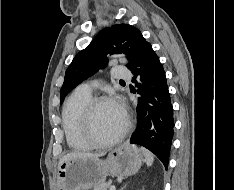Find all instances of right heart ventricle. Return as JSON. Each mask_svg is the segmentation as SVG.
Returning <instances> with one entry per match:
<instances>
[{"label": "right heart ventricle", "mask_w": 234, "mask_h": 190, "mask_svg": "<svg viewBox=\"0 0 234 190\" xmlns=\"http://www.w3.org/2000/svg\"><path fill=\"white\" fill-rule=\"evenodd\" d=\"M91 94L75 90L65 101L62 111V126L68 145L75 150H87L92 145L82 131V113Z\"/></svg>", "instance_id": "1"}]
</instances>
